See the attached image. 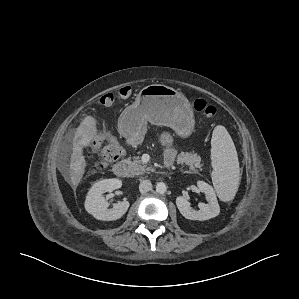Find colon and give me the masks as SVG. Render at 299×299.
Listing matches in <instances>:
<instances>
[{
	"label": "colon",
	"instance_id": "5ec220e1",
	"mask_svg": "<svg viewBox=\"0 0 299 299\" xmlns=\"http://www.w3.org/2000/svg\"><path fill=\"white\" fill-rule=\"evenodd\" d=\"M131 88L124 87L119 90L117 94L107 93L100 98V103L103 106H112L118 100L126 99L130 96ZM193 107L197 112L204 114L207 118H213L217 115V109L213 105H210L204 99H196L193 103ZM96 143L101 147V159L100 166L103 168L109 166L116 161L123 154L122 147L116 142V140L105 130L100 131Z\"/></svg>",
	"mask_w": 299,
	"mask_h": 299
}]
</instances>
